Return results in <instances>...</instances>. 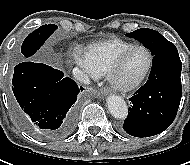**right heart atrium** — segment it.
Wrapping results in <instances>:
<instances>
[{
	"label": "right heart atrium",
	"instance_id": "obj_1",
	"mask_svg": "<svg viewBox=\"0 0 190 165\" xmlns=\"http://www.w3.org/2000/svg\"><path fill=\"white\" fill-rule=\"evenodd\" d=\"M74 59H75L76 64L79 67H81L84 71L91 74L92 76H95V74L93 73V71L89 65L86 53L84 51H82L80 49L76 50L75 54H74Z\"/></svg>",
	"mask_w": 190,
	"mask_h": 165
}]
</instances>
